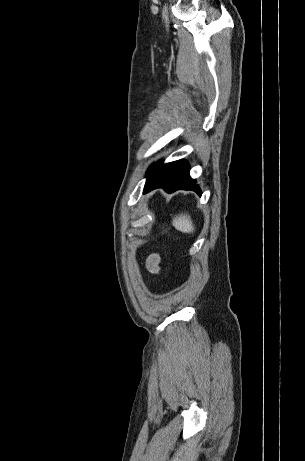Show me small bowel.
<instances>
[{"label": "small bowel", "mask_w": 305, "mask_h": 461, "mask_svg": "<svg viewBox=\"0 0 305 461\" xmlns=\"http://www.w3.org/2000/svg\"><path fill=\"white\" fill-rule=\"evenodd\" d=\"M161 257L158 253L151 254L146 260V267L152 274H158L160 272Z\"/></svg>", "instance_id": "obj_1"}]
</instances>
